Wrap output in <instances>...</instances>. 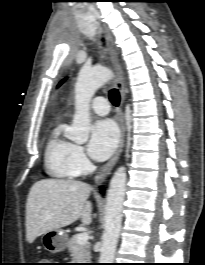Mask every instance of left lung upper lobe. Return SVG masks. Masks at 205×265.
Listing matches in <instances>:
<instances>
[{
  "instance_id": "obj_1",
  "label": "left lung upper lobe",
  "mask_w": 205,
  "mask_h": 265,
  "mask_svg": "<svg viewBox=\"0 0 205 265\" xmlns=\"http://www.w3.org/2000/svg\"><path fill=\"white\" fill-rule=\"evenodd\" d=\"M65 80H66V79H63V80L59 83L58 86H60Z\"/></svg>"
}]
</instances>
